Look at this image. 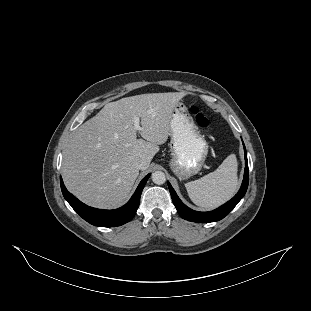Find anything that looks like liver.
<instances>
[{
  "label": "liver",
  "instance_id": "obj_1",
  "mask_svg": "<svg viewBox=\"0 0 311 311\" xmlns=\"http://www.w3.org/2000/svg\"><path fill=\"white\" fill-rule=\"evenodd\" d=\"M184 92L146 93L107 103L79 126L63 154L62 176L67 189L85 204L102 209L122 206L139 175L170 135V121ZM142 130L134 129L133 118ZM137 132L142 138H137Z\"/></svg>",
  "mask_w": 311,
  "mask_h": 311
}]
</instances>
